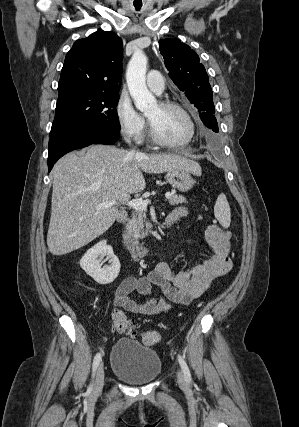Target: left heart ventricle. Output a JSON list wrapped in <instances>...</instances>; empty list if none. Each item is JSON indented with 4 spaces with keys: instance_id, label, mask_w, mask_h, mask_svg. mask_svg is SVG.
I'll return each instance as SVG.
<instances>
[{
    "instance_id": "b2bd125f",
    "label": "left heart ventricle",
    "mask_w": 299,
    "mask_h": 427,
    "mask_svg": "<svg viewBox=\"0 0 299 427\" xmlns=\"http://www.w3.org/2000/svg\"><path fill=\"white\" fill-rule=\"evenodd\" d=\"M147 117L157 134L169 141H182L187 138L189 125L184 116L177 110L153 106Z\"/></svg>"
}]
</instances>
